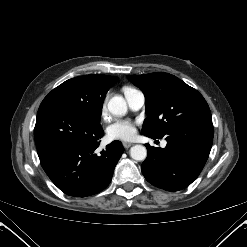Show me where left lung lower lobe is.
<instances>
[{
	"instance_id": "obj_1",
	"label": "left lung lower lobe",
	"mask_w": 247,
	"mask_h": 247,
	"mask_svg": "<svg viewBox=\"0 0 247 247\" xmlns=\"http://www.w3.org/2000/svg\"><path fill=\"white\" fill-rule=\"evenodd\" d=\"M165 137V149L145 145L148 156L141 170L152 185L167 191H178L189 186L202 171L212 147L213 124L187 125Z\"/></svg>"
}]
</instances>
